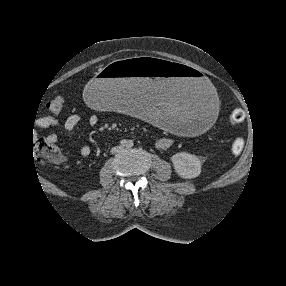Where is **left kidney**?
<instances>
[{
	"mask_svg": "<svg viewBox=\"0 0 286 286\" xmlns=\"http://www.w3.org/2000/svg\"><path fill=\"white\" fill-rule=\"evenodd\" d=\"M176 173L184 179L196 178L201 173V161L195 155L179 152L171 157Z\"/></svg>",
	"mask_w": 286,
	"mask_h": 286,
	"instance_id": "left-kidney-1",
	"label": "left kidney"
}]
</instances>
